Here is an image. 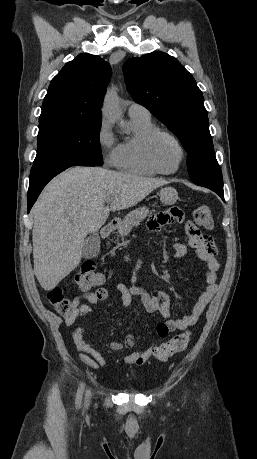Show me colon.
<instances>
[{"instance_id":"1","label":"colon","mask_w":257,"mask_h":459,"mask_svg":"<svg viewBox=\"0 0 257 459\" xmlns=\"http://www.w3.org/2000/svg\"><path fill=\"white\" fill-rule=\"evenodd\" d=\"M194 221L200 227L211 229L213 227V216L210 206H198L194 211ZM103 279L104 276L96 271L95 264L92 261H85L75 275L77 285L84 291L97 287L103 282ZM99 296L104 297L105 294L100 292ZM47 298L51 305H53L56 311L61 315H69L76 308V304L73 300L65 296V289L61 287L51 289L48 292ZM189 342V333H180L155 347L153 355L157 360H166L167 358L184 351L189 345Z\"/></svg>"}]
</instances>
